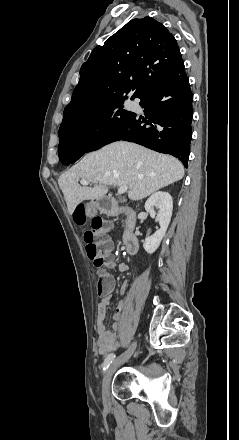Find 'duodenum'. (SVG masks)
<instances>
[{
    "label": "duodenum",
    "mask_w": 239,
    "mask_h": 440,
    "mask_svg": "<svg viewBox=\"0 0 239 440\" xmlns=\"http://www.w3.org/2000/svg\"><path fill=\"white\" fill-rule=\"evenodd\" d=\"M98 209L106 215L115 216L125 214L126 222L123 232V242L128 253L134 254L138 250V239L134 233L136 226V212L129 207H122L113 198L102 196L97 199Z\"/></svg>",
    "instance_id": "duodenum-1"
}]
</instances>
